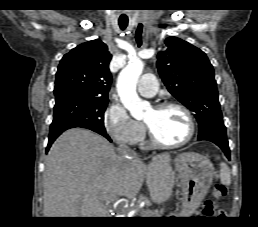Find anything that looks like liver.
I'll return each mask as SVG.
<instances>
[{"label":"liver","mask_w":258,"mask_h":227,"mask_svg":"<svg viewBox=\"0 0 258 227\" xmlns=\"http://www.w3.org/2000/svg\"><path fill=\"white\" fill-rule=\"evenodd\" d=\"M171 156L148 165L117 155L102 136L82 128L65 131L50 148L44 172V217H107L105 201L135 197L144 180L153 202L169 199L175 184Z\"/></svg>","instance_id":"6515ba94"}]
</instances>
